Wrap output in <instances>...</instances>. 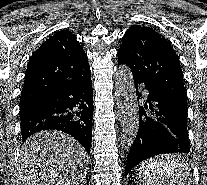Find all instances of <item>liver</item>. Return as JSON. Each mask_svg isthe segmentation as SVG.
I'll return each instance as SVG.
<instances>
[{
	"label": "liver",
	"mask_w": 207,
	"mask_h": 185,
	"mask_svg": "<svg viewBox=\"0 0 207 185\" xmlns=\"http://www.w3.org/2000/svg\"><path fill=\"white\" fill-rule=\"evenodd\" d=\"M89 157L82 145L63 131H40L23 143L14 185H80Z\"/></svg>",
	"instance_id": "obj_1"
}]
</instances>
